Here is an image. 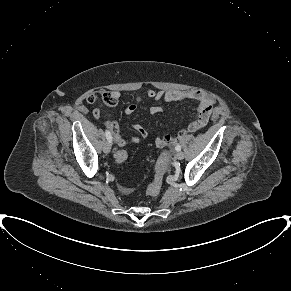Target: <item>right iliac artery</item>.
Masks as SVG:
<instances>
[{"label": "right iliac artery", "mask_w": 291, "mask_h": 291, "mask_svg": "<svg viewBox=\"0 0 291 291\" xmlns=\"http://www.w3.org/2000/svg\"><path fill=\"white\" fill-rule=\"evenodd\" d=\"M105 135H106L107 140L111 143L112 142V135H111L110 131L106 130Z\"/></svg>", "instance_id": "82829eb1"}]
</instances>
